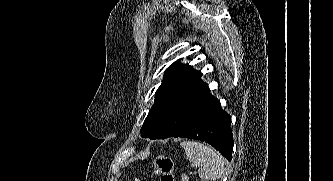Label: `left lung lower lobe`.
Listing matches in <instances>:
<instances>
[{
	"label": "left lung lower lobe",
	"mask_w": 333,
	"mask_h": 181,
	"mask_svg": "<svg viewBox=\"0 0 333 181\" xmlns=\"http://www.w3.org/2000/svg\"><path fill=\"white\" fill-rule=\"evenodd\" d=\"M231 117L221 109L218 99L212 97L209 103L172 137H186L205 141L231 161L233 135L230 128ZM151 139H162L159 134Z\"/></svg>",
	"instance_id": "0a47b994"
}]
</instances>
